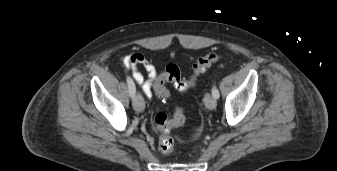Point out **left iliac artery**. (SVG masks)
<instances>
[{
	"label": "left iliac artery",
	"instance_id": "44dca946",
	"mask_svg": "<svg viewBox=\"0 0 337 171\" xmlns=\"http://www.w3.org/2000/svg\"><path fill=\"white\" fill-rule=\"evenodd\" d=\"M212 96L215 98V99H218L220 97V94H219V91L217 89L216 86H213L212 88Z\"/></svg>",
	"mask_w": 337,
	"mask_h": 171
}]
</instances>
